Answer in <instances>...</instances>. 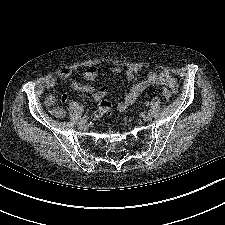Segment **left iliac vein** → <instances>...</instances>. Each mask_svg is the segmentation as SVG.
Instances as JSON below:
<instances>
[{
    "label": "left iliac vein",
    "mask_w": 225,
    "mask_h": 225,
    "mask_svg": "<svg viewBox=\"0 0 225 225\" xmlns=\"http://www.w3.org/2000/svg\"><path fill=\"white\" fill-rule=\"evenodd\" d=\"M142 119L144 121H150L152 119V114L151 113H147V114L142 116Z\"/></svg>",
    "instance_id": "4c4485c4"
}]
</instances>
